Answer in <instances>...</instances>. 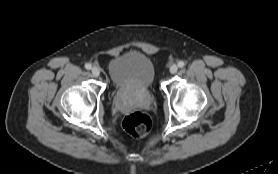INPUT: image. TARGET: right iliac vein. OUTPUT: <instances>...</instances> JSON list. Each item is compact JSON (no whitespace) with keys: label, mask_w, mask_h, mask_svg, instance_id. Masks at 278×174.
Instances as JSON below:
<instances>
[{"label":"right iliac vein","mask_w":278,"mask_h":174,"mask_svg":"<svg viewBox=\"0 0 278 174\" xmlns=\"http://www.w3.org/2000/svg\"><path fill=\"white\" fill-rule=\"evenodd\" d=\"M94 77H98L100 75V69L97 67H93L91 70Z\"/></svg>","instance_id":"63e3f726"}]
</instances>
